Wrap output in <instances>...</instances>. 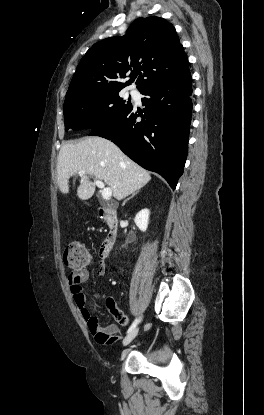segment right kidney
<instances>
[{
  "mask_svg": "<svg viewBox=\"0 0 264 415\" xmlns=\"http://www.w3.org/2000/svg\"><path fill=\"white\" fill-rule=\"evenodd\" d=\"M149 214L150 212L148 209H143L140 212H138L137 215L135 216L134 222L136 226L142 232H145L147 230L148 222H149Z\"/></svg>",
  "mask_w": 264,
  "mask_h": 415,
  "instance_id": "obj_1",
  "label": "right kidney"
}]
</instances>
